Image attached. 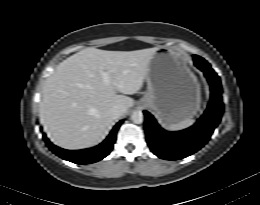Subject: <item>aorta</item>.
Instances as JSON below:
<instances>
[{"instance_id":"obj_1","label":"aorta","mask_w":260,"mask_h":205,"mask_svg":"<svg viewBox=\"0 0 260 205\" xmlns=\"http://www.w3.org/2000/svg\"><path fill=\"white\" fill-rule=\"evenodd\" d=\"M131 120L135 124H141L143 122V113L141 111H134L131 115Z\"/></svg>"}]
</instances>
